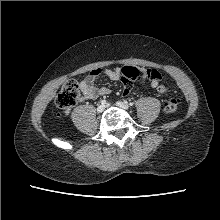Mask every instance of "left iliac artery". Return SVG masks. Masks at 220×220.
I'll return each mask as SVG.
<instances>
[{"instance_id": "44dca946", "label": "left iliac artery", "mask_w": 220, "mask_h": 220, "mask_svg": "<svg viewBox=\"0 0 220 220\" xmlns=\"http://www.w3.org/2000/svg\"><path fill=\"white\" fill-rule=\"evenodd\" d=\"M129 105H130V106H132V105H133V103H132V102H130V103H129Z\"/></svg>"}]
</instances>
